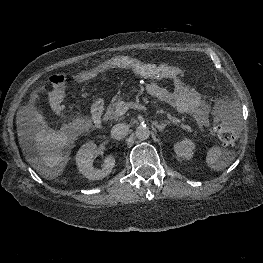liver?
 Masks as SVG:
<instances>
[{
    "label": "liver",
    "instance_id": "1",
    "mask_svg": "<svg viewBox=\"0 0 263 263\" xmlns=\"http://www.w3.org/2000/svg\"><path fill=\"white\" fill-rule=\"evenodd\" d=\"M17 131L20 142L25 134L34 131L35 145L40 154V160L35 162V168L41 176L53 179L61 175L69 158L64 153V148L72 143L77 136L76 127H63L60 130L45 129L44 127L33 129L32 124H24L21 112L17 113Z\"/></svg>",
    "mask_w": 263,
    "mask_h": 263
}]
</instances>
